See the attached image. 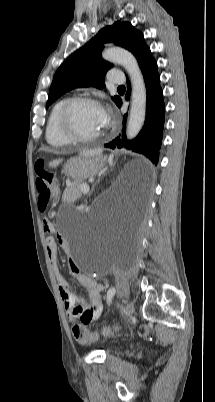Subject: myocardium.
<instances>
[{"label":"myocardium","instance_id":"myocardium-1","mask_svg":"<svg viewBox=\"0 0 215 402\" xmlns=\"http://www.w3.org/2000/svg\"><path fill=\"white\" fill-rule=\"evenodd\" d=\"M82 103H87V104H93L98 107H100L102 110V104L100 101L93 97L89 96H75L72 98L67 99L62 107L59 110L58 114V127L60 132L71 142L75 143H90L94 142L98 139H100L103 135L104 132L101 131L97 134H94L92 136H82L78 134L77 132L74 131V129L71 126V121H70V115L75 106L78 104Z\"/></svg>","mask_w":215,"mask_h":402}]
</instances>
